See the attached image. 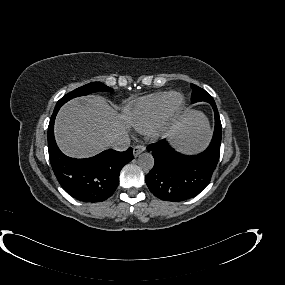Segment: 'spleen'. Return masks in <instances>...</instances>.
I'll return each instance as SVG.
<instances>
[{
	"instance_id": "obj_1",
	"label": "spleen",
	"mask_w": 285,
	"mask_h": 285,
	"mask_svg": "<svg viewBox=\"0 0 285 285\" xmlns=\"http://www.w3.org/2000/svg\"><path fill=\"white\" fill-rule=\"evenodd\" d=\"M199 120H200V123H201L202 125L207 124V120H206V118H205L202 114L199 115ZM181 150L184 151V152L187 151V149H185V148H182Z\"/></svg>"
}]
</instances>
